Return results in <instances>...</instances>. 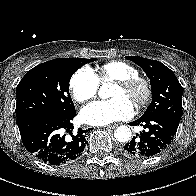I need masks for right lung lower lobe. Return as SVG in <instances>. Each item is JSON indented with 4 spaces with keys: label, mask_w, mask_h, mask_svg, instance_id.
Returning <instances> with one entry per match:
<instances>
[{
    "label": "right lung lower lobe",
    "mask_w": 196,
    "mask_h": 196,
    "mask_svg": "<svg viewBox=\"0 0 196 196\" xmlns=\"http://www.w3.org/2000/svg\"><path fill=\"white\" fill-rule=\"evenodd\" d=\"M74 111L68 115L56 113H38L18 123L22 142L26 149L43 162L60 165L70 162L80 156L87 141L86 135L90 130L78 129L72 135L75 117ZM69 132L70 139L62 135Z\"/></svg>",
    "instance_id": "obj_1"
}]
</instances>
